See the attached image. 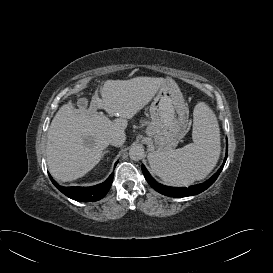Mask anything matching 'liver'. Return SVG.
Instances as JSON below:
<instances>
[{"label":"liver","instance_id":"obj_1","mask_svg":"<svg viewBox=\"0 0 273 273\" xmlns=\"http://www.w3.org/2000/svg\"><path fill=\"white\" fill-rule=\"evenodd\" d=\"M165 82L155 77L107 80L101 86L102 99L96 92L88 109L63 105L47 133L46 157L53 177L73 181L92 170L109 145L108 136L115 130L124 131L126 119L143 109ZM97 109H106L120 118L111 121Z\"/></svg>","mask_w":273,"mask_h":273}]
</instances>
